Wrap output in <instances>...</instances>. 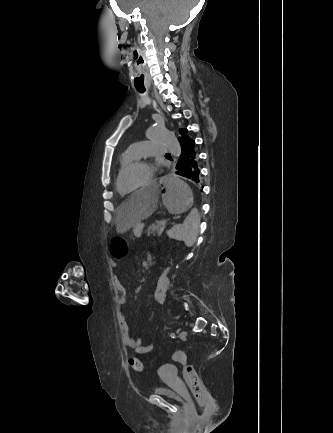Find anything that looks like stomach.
Instances as JSON below:
<instances>
[{"label":"stomach","mask_w":333,"mask_h":433,"mask_svg":"<svg viewBox=\"0 0 333 433\" xmlns=\"http://www.w3.org/2000/svg\"><path fill=\"white\" fill-rule=\"evenodd\" d=\"M164 209L168 215H187L192 209L193 191L189 183H184V176L165 174L161 176ZM143 224L139 222L133 228L135 235L141 234Z\"/></svg>","instance_id":"0dacf381"}]
</instances>
